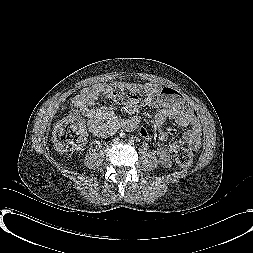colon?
Listing matches in <instances>:
<instances>
[{"label":"colon","mask_w":253,"mask_h":253,"mask_svg":"<svg viewBox=\"0 0 253 253\" xmlns=\"http://www.w3.org/2000/svg\"><path fill=\"white\" fill-rule=\"evenodd\" d=\"M107 97L144 105L150 101V94L146 89L138 85H125L114 83L103 89ZM86 134L83 124L75 117H67L55 128L53 142L57 149L63 152H71L79 148L85 141ZM177 164L187 168L192 162V154L186 148H180L175 154Z\"/></svg>","instance_id":"colon-1"}]
</instances>
